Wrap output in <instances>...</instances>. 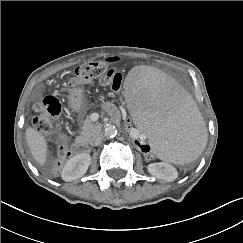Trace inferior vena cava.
I'll return each instance as SVG.
<instances>
[{"mask_svg": "<svg viewBox=\"0 0 243 243\" xmlns=\"http://www.w3.org/2000/svg\"><path fill=\"white\" fill-rule=\"evenodd\" d=\"M102 140H103V135H102V134H98V135H96V136L93 138L91 144H92L93 146H98V145L102 142Z\"/></svg>", "mask_w": 243, "mask_h": 243, "instance_id": "1", "label": "inferior vena cava"}]
</instances>
